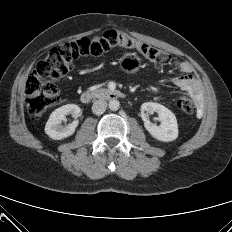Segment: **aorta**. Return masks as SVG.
I'll use <instances>...</instances> for the list:
<instances>
[{"label": "aorta", "mask_w": 232, "mask_h": 232, "mask_svg": "<svg viewBox=\"0 0 232 232\" xmlns=\"http://www.w3.org/2000/svg\"><path fill=\"white\" fill-rule=\"evenodd\" d=\"M108 106H109V109L111 111H117L119 109V107H120V103H119L118 100L112 99V100L109 101Z\"/></svg>", "instance_id": "aorta-1"}]
</instances>
